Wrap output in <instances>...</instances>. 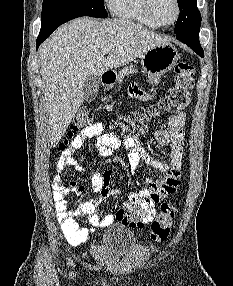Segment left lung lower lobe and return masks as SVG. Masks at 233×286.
Segmentation results:
<instances>
[{"label":"left lung lower lobe","instance_id":"1","mask_svg":"<svg viewBox=\"0 0 233 286\" xmlns=\"http://www.w3.org/2000/svg\"><path fill=\"white\" fill-rule=\"evenodd\" d=\"M199 30H191L184 34L176 35V38L189 46L194 52H196L201 57H204L203 49L199 44Z\"/></svg>","mask_w":233,"mask_h":286}]
</instances>
